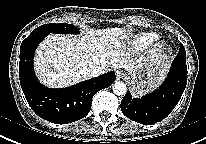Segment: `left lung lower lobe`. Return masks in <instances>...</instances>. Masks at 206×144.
<instances>
[{"instance_id": "left-lung-lower-lobe-1", "label": "left lung lower lobe", "mask_w": 206, "mask_h": 144, "mask_svg": "<svg viewBox=\"0 0 206 144\" xmlns=\"http://www.w3.org/2000/svg\"><path fill=\"white\" fill-rule=\"evenodd\" d=\"M187 83L186 52L180 45L167 78L154 92L142 98H132L127 91L121 101L123 114L140 124H154L165 119L179 102Z\"/></svg>"}]
</instances>
